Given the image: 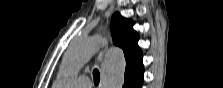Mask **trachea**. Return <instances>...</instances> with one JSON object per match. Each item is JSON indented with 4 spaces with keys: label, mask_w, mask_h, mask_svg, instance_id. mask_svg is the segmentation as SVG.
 <instances>
[{
    "label": "trachea",
    "mask_w": 223,
    "mask_h": 88,
    "mask_svg": "<svg viewBox=\"0 0 223 88\" xmlns=\"http://www.w3.org/2000/svg\"><path fill=\"white\" fill-rule=\"evenodd\" d=\"M93 77H94V83H95V85H98L99 84V81H100V73H99L98 69H95L93 71Z\"/></svg>",
    "instance_id": "obj_1"
}]
</instances>
